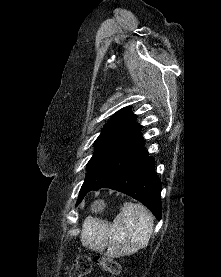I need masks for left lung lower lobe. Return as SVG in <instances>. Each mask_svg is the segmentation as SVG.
Wrapping results in <instances>:
<instances>
[{
	"instance_id": "0a47b994",
	"label": "left lung lower lobe",
	"mask_w": 221,
	"mask_h": 277,
	"mask_svg": "<svg viewBox=\"0 0 221 277\" xmlns=\"http://www.w3.org/2000/svg\"><path fill=\"white\" fill-rule=\"evenodd\" d=\"M154 160L142 149L125 166L99 183L87 186L80 193L77 204L91 190L110 188L140 201L161 219V181L154 172Z\"/></svg>"
}]
</instances>
